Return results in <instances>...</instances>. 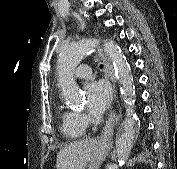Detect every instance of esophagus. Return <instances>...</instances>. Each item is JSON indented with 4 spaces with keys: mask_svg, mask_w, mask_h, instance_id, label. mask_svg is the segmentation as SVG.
Here are the masks:
<instances>
[{
    "mask_svg": "<svg viewBox=\"0 0 177 169\" xmlns=\"http://www.w3.org/2000/svg\"><path fill=\"white\" fill-rule=\"evenodd\" d=\"M98 55L99 57L102 59L103 63H104V68H105V76L106 78L110 79V81L112 82V84H110V91L112 92V100H119V92H116L118 89L117 84H115V78L112 74V66L108 60V58L106 57V55L103 52V49L101 48V46H98L97 49ZM115 113H117V107H116V102H113V107H112V113L110 114L108 120L105 123V126L103 128V132L100 136L101 140H106L108 138H110L111 134H112V130L114 127V124L117 122V120L119 119V116H117Z\"/></svg>",
    "mask_w": 177,
    "mask_h": 169,
    "instance_id": "esophagus-1",
    "label": "esophagus"
}]
</instances>
